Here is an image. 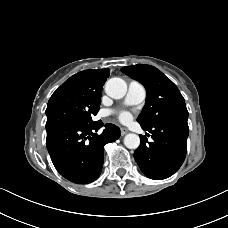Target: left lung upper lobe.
<instances>
[{
	"label": "left lung upper lobe",
	"instance_id": "5c2ea615",
	"mask_svg": "<svg viewBox=\"0 0 228 228\" xmlns=\"http://www.w3.org/2000/svg\"><path fill=\"white\" fill-rule=\"evenodd\" d=\"M121 71L146 88V103L137 118L141 126L152 128L160 122L188 117L183 96L160 70L151 65L138 64L124 67Z\"/></svg>",
	"mask_w": 228,
	"mask_h": 228
}]
</instances>
